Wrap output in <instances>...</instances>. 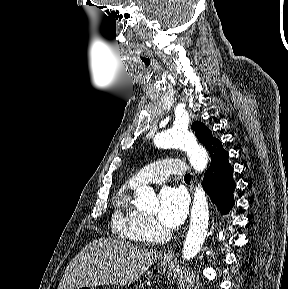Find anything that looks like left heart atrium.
<instances>
[{
	"mask_svg": "<svg viewBox=\"0 0 288 289\" xmlns=\"http://www.w3.org/2000/svg\"><path fill=\"white\" fill-rule=\"evenodd\" d=\"M187 197L175 187H164L159 193V222L168 228L178 227L187 213Z\"/></svg>",
	"mask_w": 288,
	"mask_h": 289,
	"instance_id": "left-heart-atrium-1",
	"label": "left heart atrium"
}]
</instances>
